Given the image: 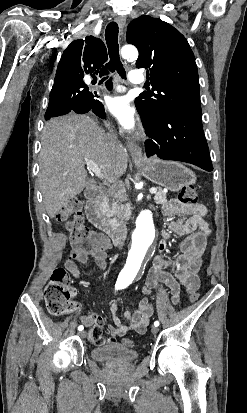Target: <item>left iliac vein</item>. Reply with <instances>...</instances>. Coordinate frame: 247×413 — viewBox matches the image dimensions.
Segmentation results:
<instances>
[{
	"mask_svg": "<svg viewBox=\"0 0 247 413\" xmlns=\"http://www.w3.org/2000/svg\"><path fill=\"white\" fill-rule=\"evenodd\" d=\"M158 332H159L158 327L153 326V327H152V333H153V334H156V333H158Z\"/></svg>",
	"mask_w": 247,
	"mask_h": 413,
	"instance_id": "1",
	"label": "left iliac vein"
}]
</instances>
